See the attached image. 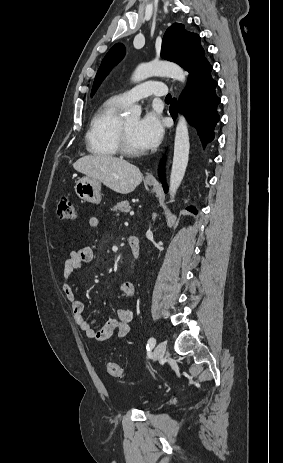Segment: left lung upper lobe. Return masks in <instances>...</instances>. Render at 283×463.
Masks as SVG:
<instances>
[{
    "label": "left lung upper lobe",
    "instance_id": "5c2ea615",
    "mask_svg": "<svg viewBox=\"0 0 283 463\" xmlns=\"http://www.w3.org/2000/svg\"><path fill=\"white\" fill-rule=\"evenodd\" d=\"M125 48L123 44H115L104 57L96 74L91 96L94 95L101 82L105 79L111 69L123 58ZM205 53L200 45V36L187 32L184 26L179 23L172 24L165 32L161 57L179 64L186 71H189L195 64L206 60Z\"/></svg>",
    "mask_w": 283,
    "mask_h": 463
}]
</instances>
